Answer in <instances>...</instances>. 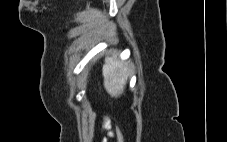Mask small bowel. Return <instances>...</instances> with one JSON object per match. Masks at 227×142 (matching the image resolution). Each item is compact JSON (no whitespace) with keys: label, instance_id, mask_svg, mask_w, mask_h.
<instances>
[{"label":"small bowel","instance_id":"1","mask_svg":"<svg viewBox=\"0 0 227 142\" xmlns=\"http://www.w3.org/2000/svg\"><path fill=\"white\" fill-rule=\"evenodd\" d=\"M102 127L108 131V135L112 136L113 135V132L111 130V123H110V120L107 118V117H104L103 118V121H102ZM107 139L106 138H103L102 139V142H106Z\"/></svg>","mask_w":227,"mask_h":142}]
</instances>
